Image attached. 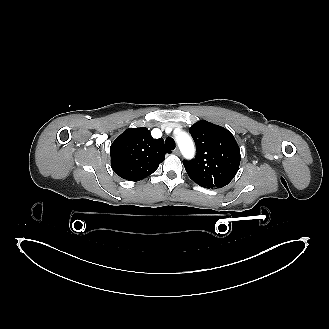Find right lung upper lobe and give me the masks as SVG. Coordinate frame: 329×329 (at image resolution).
Here are the masks:
<instances>
[{
    "mask_svg": "<svg viewBox=\"0 0 329 329\" xmlns=\"http://www.w3.org/2000/svg\"><path fill=\"white\" fill-rule=\"evenodd\" d=\"M145 127L129 128L110 147L111 167L129 181H139L152 174L170 153L163 139H154Z\"/></svg>",
    "mask_w": 329,
    "mask_h": 329,
    "instance_id": "right-lung-upper-lobe-1",
    "label": "right lung upper lobe"
}]
</instances>
